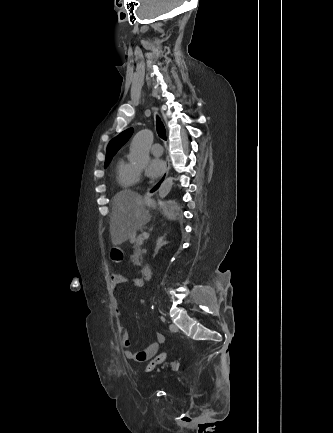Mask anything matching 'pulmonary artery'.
<instances>
[{
    "instance_id": "1",
    "label": "pulmonary artery",
    "mask_w": 333,
    "mask_h": 433,
    "mask_svg": "<svg viewBox=\"0 0 333 433\" xmlns=\"http://www.w3.org/2000/svg\"><path fill=\"white\" fill-rule=\"evenodd\" d=\"M151 153L154 156H161L162 153H163V147H162V145L159 144V143L153 144L152 147H151Z\"/></svg>"
}]
</instances>
